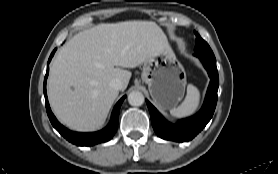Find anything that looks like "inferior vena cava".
Listing matches in <instances>:
<instances>
[{"instance_id":"1","label":"inferior vena cava","mask_w":278,"mask_h":174,"mask_svg":"<svg viewBox=\"0 0 278 174\" xmlns=\"http://www.w3.org/2000/svg\"><path fill=\"white\" fill-rule=\"evenodd\" d=\"M109 86L117 91L123 89V83L119 78H114L110 81Z\"/></svg>"}]
</instances>
